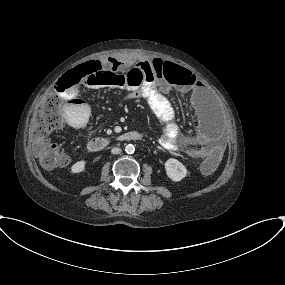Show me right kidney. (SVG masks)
<instances>
[{
  "instance_id": "obj_1",
  "label": "right kidney",
  "mask_w": 285,
  "mask_h": 285,
  "mask_svg": "<svg viewBox=\"0 0 285 285\" xmlns=\"http://www.w3.org/2000/svg\"><path fill=\"white\" fill-rule=\"evenodd\" d=\"M85 161L84 160H81V161H78L76 163H74L71 167V171L72 173H81L84 171L85 169Z\"/></svg>"
}]
</instances>
